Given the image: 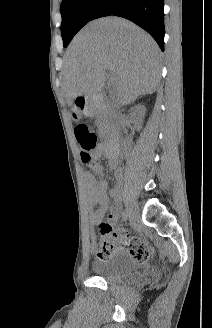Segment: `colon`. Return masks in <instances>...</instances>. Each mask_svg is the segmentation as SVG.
Masks as SVG:
<instances>
[{
  "label": "colon",
  "mask_w": 212,
  "mask_h": 328,
  "mask_svg": "<svg viewBox=\"0 0 212 328\" xmlns=\"http://www.w3.org/2000/svg\"><path fill=\"white\" fill-rule=\"evenodd\" d=\"M74 133L80 149L81 160L83 163L88 164L91 162L96 152L97 136L85 123H78L75 126ZM100 230L101 242L98 248V256L108 259L117 245L118 234L114 232L112 227L107 223H103L100 226ZM148 255V251H144L138 262L145 261Z\"/></svg>",
  "instance_id": "colon-1"
}]
</instances>
